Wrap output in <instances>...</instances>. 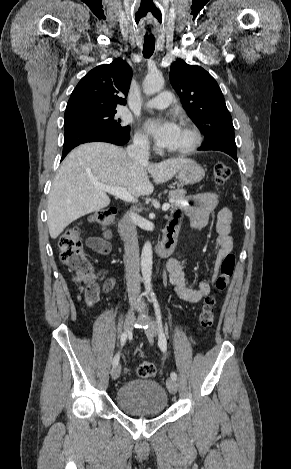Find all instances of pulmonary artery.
Instances as JSON below:
<instances>
[{"label": "pulmonary artery", "mask_w": 291, "mask_h": 469, "mask_svg": "<svg viewBox=\"0 0 291 469\" xmlns=\"http://www.w3.org/2000/svg\"><path fill=\"white\" fill-rule=\"evenodd\" d=\"M173 97L168 91L159 93L156 97L145 103V106L153 109H165L172 104Z\"/></svg>", "instance_id": "pulmonary-artery-1"}]
</instances>
